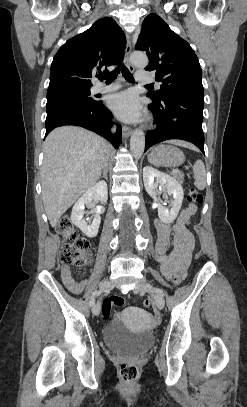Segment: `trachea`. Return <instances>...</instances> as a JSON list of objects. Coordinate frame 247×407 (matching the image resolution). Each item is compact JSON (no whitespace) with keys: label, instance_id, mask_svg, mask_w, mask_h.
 Here are the masks:
<instances>
[{"label":"trachea","instance_id":"trachea-1","mask_svg":"<svg viewBox=\"0 0 247 407\" xmlns=\"http://www.w3.org/2000/svg\"><path fill=\"white\" fill-rule=\"evenodd\" d=\"M119 69L122 72V75L128 82H134V77L130 73V71L123 65L119 64V68H115L112 72L110 73H105V74H100L99 78L105 79L106 82H112L117 78V74L119 73ZM147 86H153L152 84L147 85Z\"/></svg>","mask_w":247,"mask_h":407}]
</instances>
